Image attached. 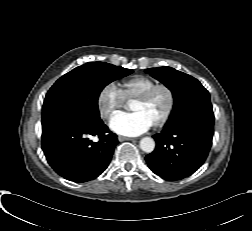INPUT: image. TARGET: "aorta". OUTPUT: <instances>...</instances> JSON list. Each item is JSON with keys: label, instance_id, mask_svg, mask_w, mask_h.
Listing matches in <instances>:
<instances>
[{"label": "aorta", "instance_id": "aorta-1", "mask_svg": "<svg viewBox=\"0 0 252 231\" xmlns=\"http://www.w3.org/2000/svg\"><path fill=\"white\" fill-rule=\"evenodd\" d=\"M140 148L146 153H152L155 149V141L151 137H144L140 140Z\"/></svg>", "mask_w": 252, "mask_h": 231}]
</instances>
